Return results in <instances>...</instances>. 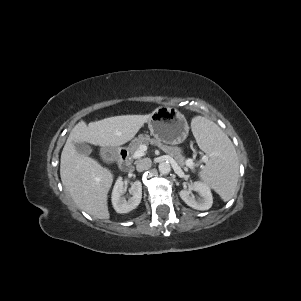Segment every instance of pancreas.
<instances>
[{"mask_svg": "<svg viewBox=\"0 0 301 301\" xmlns=\"http://www.w3.org/2000/svg\"><path fill=\"white\" fill-rule=\"evenodd\" d=\"M142 144L155 145L161 150H163L165 153L172 156L179 165L184 166L186 164L187 160L181 154V149L179 147L164 145L160 141L150 138L149 135L140 134L137 138L133 139L129 145L130 153L134 155V153L139 149V147Z\"/></svg>", "mask_w": 301, "mask_h": 301, "instance_id": "pancreas-1", "label": "pancreas"}]
</instances>
